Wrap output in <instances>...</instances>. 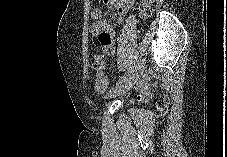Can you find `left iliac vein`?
Instances as JSON below:
<instances>
[{
	"label": "left iliac vein",
	"mask_w": 227,
	"mask_h": 157,
	"mask_svg": "<svg viewBox=\"0 0 227 157\" xmlns=\"http://www.w3.org/2000/svg\"><path fill=\"white\" fill-rule=\"evenodd\" d=\"M146 67V60L145 58L140 59L137 62V65L131 75L122 83L116 84L107 94L106 98L107 99H112L115 98L127 91H129L134 84L138 81L140 78L141 74L144 72Z\"/></svg>",
	"instance_id": "1"
}]
</instances>
